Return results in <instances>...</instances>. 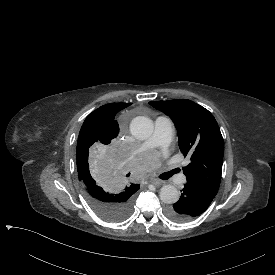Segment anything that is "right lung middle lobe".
Segmentation results:
<instances>
[{
  "label": "right lung middle lobe",
  "instance_id": "obj_1",
  "mask_svg": "<svg viewBox=\"0 0 275 275\" xmlns=\"http://www.w3.org/2000/svg\"><path fill=\"white\" fill-rule=\"evenodd\" d=\"M93 145V144H92ZM88 145L77 150V170L89 205L103 218L111 221L125 219L131 212L133 194H114L115 183L105 152L99 146ZM92 146V147H91Z\"/></svg>",
  "mask_w": 275,
  "mask_h": 275
}]
</instances>
